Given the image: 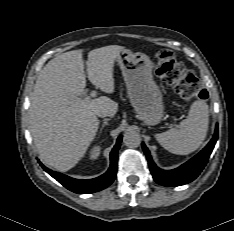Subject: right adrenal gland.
<instances>
[{
    "mask_svg": "<svg viewBox=\"0 0 234 231\" xmlns=\"http://www.w3.org/2000/svg\"><path fill=\"white\" fill-rule=\"evenodd\" d=\"M109 120H110V119H104V120H103L102 127L100 128V133L102 132L103 128H104L106 125H108V121H109Z\"/></svg>",
    "mask_w": 234,
    "mask_h": 231,
    "instance_id": "right-adrenal-gland-1",
    "label": "right adrenal gland"
}]
</instances>
